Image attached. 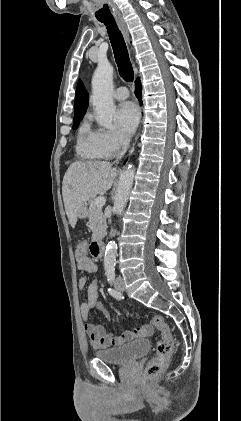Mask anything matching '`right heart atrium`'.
Here are the masks:
<instances>
[{
	"label": "right heart atrium",
	"mask_w": 241,
	"mask_h": 421,
	"mask_svg": "<svg viewBox=\"0 0 241 421\" xmlns=\"http://www.w3.org/2000/svg\"><path fill=\"white\" fill-rule=\"evenodd\" d=\"M96 138L105 158L112 157L127 144L126 138L115 130L98 129Z\"/></svg>",
	"instance_id": "obj_1"
}]
</instances>
